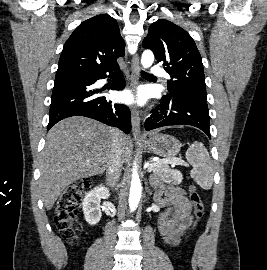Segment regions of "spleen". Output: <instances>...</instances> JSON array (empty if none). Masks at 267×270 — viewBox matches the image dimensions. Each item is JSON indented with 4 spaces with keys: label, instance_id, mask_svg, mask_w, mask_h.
<instances>
[{
    "label": "spleen",
    "instance_id": "obj_1",
    "mask_svg": "<svg viewBox=\"0 0 267 270\" xmlns=\"http://www.w3.org/2000/svg\"><path fill=\"white\" fill-rule=\"evenodd\" d=\"M186 159L192 164L190 172L194 181L205 190H209L213 184V164L209 153L201 142H194L186 151ZM176 184L182 181V175L175 172Z\"/></svg>",
    "mask_w": 267,
    "mask_h": 270
}]
</instances>
